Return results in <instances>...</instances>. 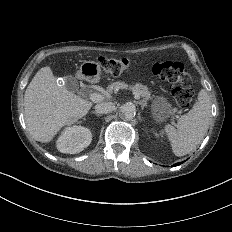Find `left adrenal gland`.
<instances>
[{
    "label": "left adrenal gland",
    "instance_id": "1",
    "mask_svg": "<svg viewBox=\"0 0 232 232\" xmlns=\"http://www.w3.org/2000/svg\"><path fill=\"white\" fill-rule=\"evenodd\" d=\"M138 104H141V107L144 108L146 105H145V101H139Z\"/></svg>",
    "mask_w": 232,
    "mask_h": 232
}]
</instances>
